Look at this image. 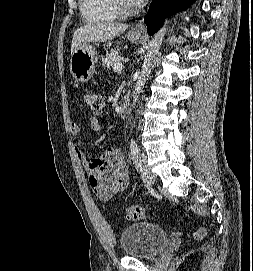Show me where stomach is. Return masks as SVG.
I'll use <instances>...</instances> for the list:
<instances>
[{
	"label": "stomach",
	"instance_id": "1",
	"mask_svg": "<svg viewBox=\"0 0 253 271\" xmlns=\"http://www.w3.org/2000/svg\"><path fill=\"white\" fill-rule=\"evenodd\" d=\"M127 39L132 43H137L142 39L140 34L129 32ZM96 51L89 44L80 46L71 56L70 72L79 82H87L95 73Z\"/></svg>",
	"mask_w": 253,
	"mask_h": 271
}]
</instances>
